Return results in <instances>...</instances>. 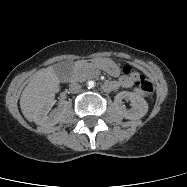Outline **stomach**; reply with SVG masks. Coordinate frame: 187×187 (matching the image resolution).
Here are the masks:
<instances>
[{
    "label": "stomach",
    "instance_id": "0dacf381",
    "mask_svg": "<svg viewBox=\"0 0 187 187\" xmlns=\"http://www.w3.org/2000/svg\"><path fill=\"white\" fill-rule=\"evenodd\" d=\"M90 64L112 76H119L120 67L110 58L96 57L90 60Z\"/></svg>",
    "mask_w": 187,
    "mask_h": 187
}]
</instances>
